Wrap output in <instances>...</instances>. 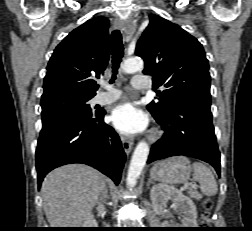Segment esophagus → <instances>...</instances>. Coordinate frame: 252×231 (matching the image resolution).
Instances as JSON below:
<instances>
[{
    "label": "esophagus",
    "instance_id": "obj_1",
    "mask_svg": "<svg viewBox=\"0 0 252 231\" xmlns=\"http://www.w3.org/2000/svg\"><path fill=\"white\" fill-rule=\"evenodd\" d=\"M114 25L118 29H123L124 28V21L121 19H115ZM121 142H122V146H123L125 153L129 154L133 148V140L122 136Z\"/></svg>",
    "mask_w": 252,
    "mask_h": 231
}]
</instances>
